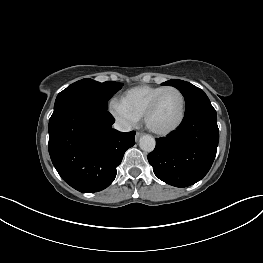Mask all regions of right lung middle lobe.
Masks as SVG:
<instances>
[{"label": "right lung middle lobe", "mask_w": 263, "mask_h": 263, "mask_svg": "<svg viewBox=\"0 0 263 263\" xmlns=\"http://www.w3.org/2000/svg\"><path fill=\"white\" fill-rule=\"evenodd\" d=\"M122 85L114 81L100 83L89 78L79 80L58 94L53 113L67 105H87L107 110L108 100Z\"/></svg>", "instance_id": "dd1d6c3e"}]
</instances>
